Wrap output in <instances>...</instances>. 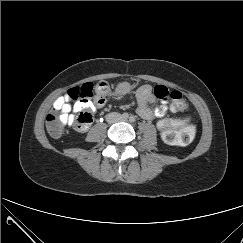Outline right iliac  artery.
Returning <instances> with one entry per match:
<instances>
[{
	"label": "right iliac artery",
	"mask_w": 243,
	"mask_h": 243,
	"mask_svg": "<svg viewBox=\"0 0 243 243\" xmlns=\"http://www.w3.org/2000/svg\"><path fill=\"white\" fill-rule=\"evenodd\" d=\"M129 117L128 113H123L122 118L127 119Z\"/></svg>",
	"instance_id": "1"
}]
</instances>
